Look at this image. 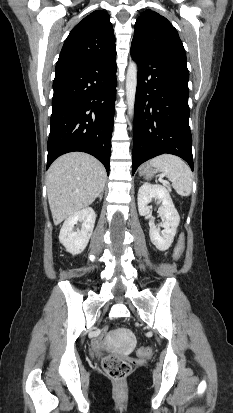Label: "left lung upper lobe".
<instances>
[{"label":"left lung upper lobe","instance_id":"left-lung-upper-lobe-1","mask_svg":"<svg viewBox=\"0 0 233 413\" xmlns=\"http://www.w3.org/2000/svg\"><path fill=\"white\" fill-rule=\"evenodd\" d=\"M131 46L170 59L187 69L185 49L176 29L154 11L146 10L137 19Z\"/></svg>","mask_w":233,"mask_h":413}]
</instances>
